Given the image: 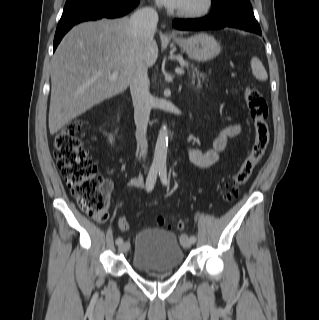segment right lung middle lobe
I'll list each match as a JSON object with an SVG mask.
<instances>
[{"label": "right lung middle lobe", "mask_w": 319, "mask_h": 320, "mask_svg": "<svg viewBox=\"0 0 319 320\" xmlns=\"http://www.w3.org/2000/svg\"><path fill=\"white\" fill-rule=\"evenodd\" d=\"M95 0H67L63 13L75 10L77 8H80L88 3H91Z\"/></svg>", "instance_id": "dd1d6c3e"}]
</instances>
